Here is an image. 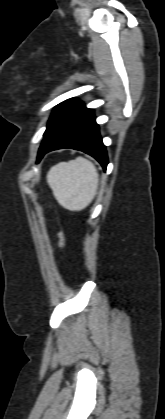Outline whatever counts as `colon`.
I'll list each match as a JSON object with an SVG mask.
<instances>
[{
  "mask_svg": "<svg viewBox=\"0 0 165 419\" xmlns=\"http://www.w3.org/2000/svg\"><path fill=\"white\" fill-rule=\"evenodd\" d=\"M60 242H61L62 248H65L66 247V239H65L64 233H60Z\"/></svg>",
  "mask_w": 165,
  "mask_h": 419,
  "instance_id": "colon-1",
  "label": "colon"
}]
</instances>
